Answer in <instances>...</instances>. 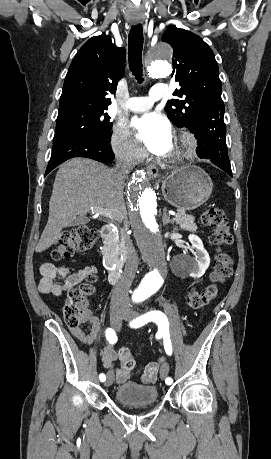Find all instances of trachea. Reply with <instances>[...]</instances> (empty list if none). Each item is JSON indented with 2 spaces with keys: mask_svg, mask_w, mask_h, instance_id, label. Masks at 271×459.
<instances>
[{
  "mask_svg": "<svg viewBox=\"0 0 271 459\" xmlns=\"http://www.w3.org/2000/svg\"><path fill=\"white\" fill-rule=\"evenodd\" d=\"M143 27L141 24L132 26L128 39V62L132 74L139 83L143 82Z\"/></svg>",
  "mask_w": 271,
  "mask_h": 459,
  "instance_id": "obj_1",
  "label": "trachea"
}]
</instances>
